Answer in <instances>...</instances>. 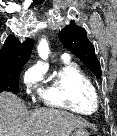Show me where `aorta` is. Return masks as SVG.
<instances>
[{
	"mask_svg": "<svg viewBox=\"0 0 117 136\" xmlns=\"http://www.w3.org/2000/svg\"><path fill=\"white\" fill-rule=\"evenodd\" d=\"M38 53L39 56L46 60L48 58L49 55V47H48V43L46 40H42L38 46Z\"/></svg>",
	"mask_w": 117,
	"mask_h": 136,
	"instance_id": "aorta-1",
	"label": "aorta"
}]
</instances>
